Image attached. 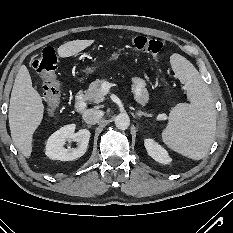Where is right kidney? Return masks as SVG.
<instances>
[{
  "label": "right kidney",
  "mask_w": 233,
  "mask_h": 233,
  "mask_svg": "<svg viewBox=\"0 0 233 233\" xmlns=\"http://www.w3.org/2000/svg\"><path fill=\"white\" fill-rule=\"evenodd\" d=\"M75 124L62 127L53 133L46 144V155L53 160L71 161L84 155L87 150L90 132L87 129H81L77 133ZM76 141L78 146L73 149L64 148L66 141Z\"/></svg>",
  "instance_id": "obj_1"
}]
</instances>
